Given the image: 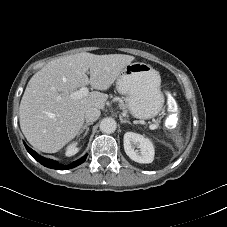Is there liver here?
I'll return each mask as SVG.
<instances>
[{"instance_id": "6515ba94", "label": "liver", "mask_w": 227, "mask_h": 227, "mask_svg": "<svg viewBox=\"0 0 227 227\" xmlns=\"http://www.w3.org/2000/svg\"><path fill=\"white\" fill-rule=\"evenodd\" d=\"M134 59L124 54L81 52L47 63L31 77L21 99L19 121L27 141L46 153L62 149L78 135L85 112L103 109L108 99L99 91L81 99H73L71 93L88 84L96 90H108Z\"/></svg>"}]
</instances>
